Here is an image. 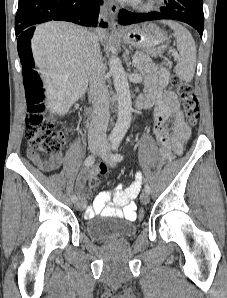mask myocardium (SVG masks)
Wrapping results in <instances>:
<instances>
[{
	"label": "myocardium",
	"mask_w": 227,
	"mask_h": 298,
	"mask_svg": "<svg viewBox=\"0 0 227 298\" xmlns=\"http://www.w3.org/2000/svg\"><path fill=\"white\" fill-rule=\"evenodd\" d=\"M157 0H146L143 2L142 0H138L137 4L141 9L150 10L156 6Z\"/></svg>",
	"instance_id": "myocardium-1"
}]
</instances>
